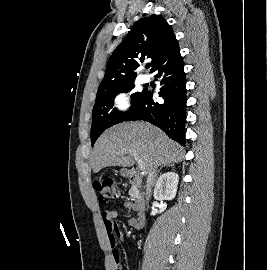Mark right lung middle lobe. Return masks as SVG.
I'll use <instances>...</instances> for the list:
<instances>
[{
  "mask_svg": "<svg viewBox=\"0 0 267 270\" xmlns=\"http://www.w3.org/2000/svg\"><path fill=\"white\" fill-rule=\"evenodd\" d=\"M135 87L134 81L126 82L111 88L97 92L96 101L92 113L91 144L109 127L123 122L134 106L140 101L145 92H135L131 95L132 105L128 112H120L113 109L114 98L120 92H129Z\"/></svg>",
  "mask_w": 267,
  "mask_h": 270,
  "instance_id": "obj_1",
  "label": "right lung middle lobe"
}]
</instances>
